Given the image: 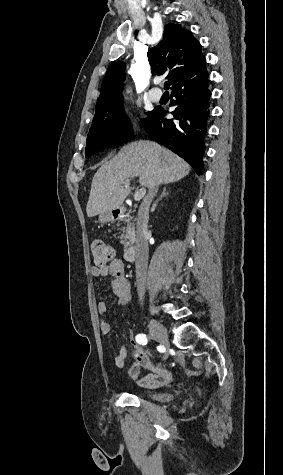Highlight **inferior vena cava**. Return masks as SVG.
Instances as JSON below:
<instances>
[{
    "mask_svg": "<svg viewBox=\"0 0 283 475\" xmlns=\"http://www.w3.org/2000/svg\"><path fill=\"white\" fill-rule=\"evenodd\" d=\"M158 186H149V194L144 198L139 210L136 224V285L140 301H143L146 291L147 263H148V241L147 224L149 220V208L153 196H155Z\"/></svg>",
    "mask_w": 283,
    "mask_h": 475,
    "instance_id": "602c4592",
    "label": "inferior vena cava"
}]
</instances>
